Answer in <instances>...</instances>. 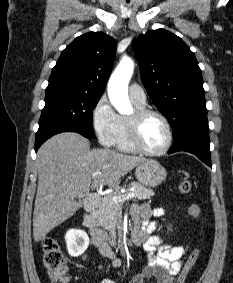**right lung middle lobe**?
<instances>
[{
	"label": "right lung middle lobe",
	"instance_id": "dd1d6c3e",
	"mask_svg": "<svg viewBox=\"0 0 233 283\" xmlns=\"http://www.w3.org/2000/svg\"><path fill=\"white\" fill-rule=\"evenodd\" d=\"M100 97L71 88L48 86L39 130L53 125H70L92 134V110Z\"/></svg>",
	"mask_w": 233,
	"mask_h": 283
}]
</instances>
